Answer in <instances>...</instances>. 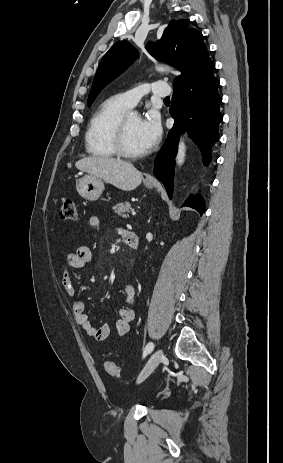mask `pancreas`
Returning a JSON list of instances; mask_svg holds the SVG:
<instances>
[{
    "label": "pancreas",
    "instance_id": "obj_1",
    "mask_svg": "<svg viewBox=\"0 0 283 463\" xmlns=\"http://www.w3.org/2000/svg\"><path fill=\"white\" fill-rule=\"evenodd\" d=\"M112 209L116 214L122 216L123 218H127L128 213L133 211L129 202H120L116 206H113Z\"/></svg>",
    "mask_w": 283,
    "mask_h": 463
}]
</instances>
